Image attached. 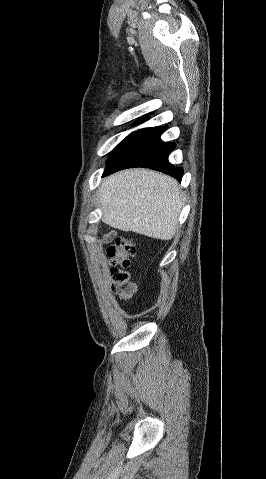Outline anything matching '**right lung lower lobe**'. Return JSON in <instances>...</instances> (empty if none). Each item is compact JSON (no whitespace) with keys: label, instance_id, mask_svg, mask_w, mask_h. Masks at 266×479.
I'll list each match as a JSON object with an SVG mask.
<instances>
[{"label":"right lung lower lobe","instance_id":"1","mask_svg":"<svg viewBox=\"0 0 266 479\" xmlns=\"http://www.w3.org/2000/svg\"><path fill=\"white\" fill-rule=\"evenodd\" d=\"M166 128L167 126L144 128L128 135L111 153L103 176L126 168L144 167L168 174L180 182L183 169L168 161V155L176 144L160 139Z\"/></svg>","mask_w":266,"mask_h":479}]
</instances>
